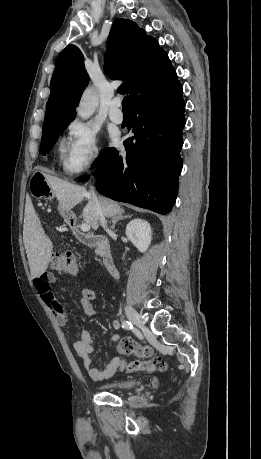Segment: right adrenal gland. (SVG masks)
<instances>
[{
    "label": "right adrenal gland",
    "mask_w": 261,
    "mask_h": 459,
    "mask_svg": "<svg viewBox=\"0 0 261 459\" xmlns=\"http://www.w3.org/2000/svg\"><path fill=\"white\" fill-rule=\"evenodd\" d=\"M127 218H132V215H125V216H122V215H117L115 217H113L112 219V226H111V229L114 230L115 229V225L118 221L120 220H124V219H127Z\"/></svg>",
    "instance_id": "1"
}]
</instances>
